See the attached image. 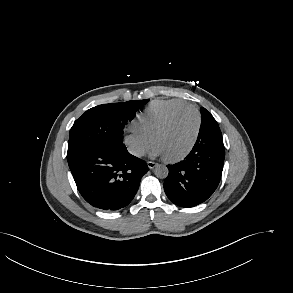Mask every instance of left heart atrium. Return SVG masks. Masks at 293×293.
Listing matches in <instances>:
<instances>
[{
    "mask_svg": "<svg viewBox=\"0 0 293 293\" xmlns=\"http://www.w3.org/2000/svg\"><path fill=\"white\" fill-rule=\"evenodd\" d=\"M151 155L152 156H164L162 150L155 144L151 150Z\"/></svg>",
    "mask_w": 293,
    "mask_h": 293,
    "instance_id": "left-heart-atrium-1",
    "label": "left heart atrium"
}]
</instances>
